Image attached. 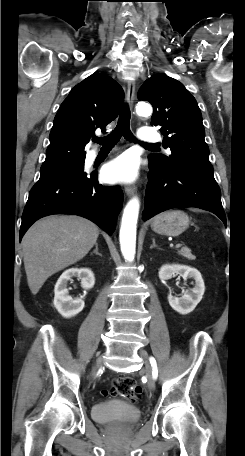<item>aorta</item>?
I'll return each mask as SVG.
<instances>
[{"instance_id": "aorta-1", "label": "aorta", "mask_w": 245, "mask_h": 456, "mask_svg": "<svg viewBox=\"0 0 245 456\" xmlns=\"http://www.w3.org/2000/svg\"><path fill=\"white\" fill-rule=\"evenodd\" d=\"M139 116H150L152 106L149 103H139L136 107ZM140 202L137 197L132 198L126 205L120 228V246L125 260L133 261L136 252V230Z\"/></svg>"}]
</instances>
